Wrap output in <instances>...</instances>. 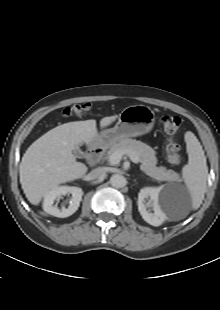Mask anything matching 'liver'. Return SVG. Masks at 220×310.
<instances>
[{"label": "liver", "mask_w": 220, "mask_h": 310, "mask_svg": "<svg viewBox=\"0 0 220 310\" xmlns=\"http://www.w3.org/2000/svg\"><path fill=\"white\" fill-rule=\"evenodd\" d=\"M117 116L104 117L103 128ZM96 120L75 121L59 125L33 142L19 166L20 183L28 201L38 205L52 188L82 178L88 168L76 161L73 150L97 141Z\"/></svg>", "instance_id": "obj_1"}]
</instances>
